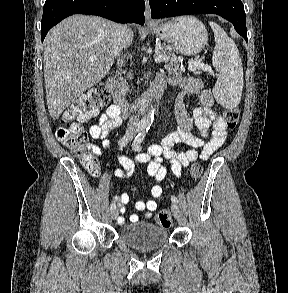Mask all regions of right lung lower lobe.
<instances>
[{
  "instance_id": "obj_1",
  "label": "right lung lower lobe",
  "mask_w": 288,
  "mask_h": 293,
  "mask_svg": "<svg viewBox=\"0 0 288 293\" xmlns=\"http://www.w3.org/2000/svg\"><path fill=\"white\" fill-rule=\"evenodd\" d=\"M143 0H46L41 23V40L58 22L73 14L97 15L118 23L144 24Z\"/></svg>"
}]
</instances>
